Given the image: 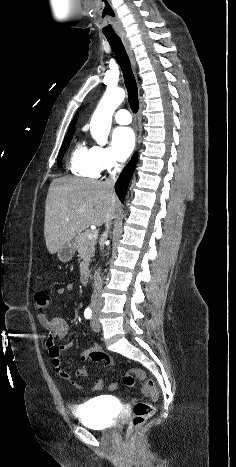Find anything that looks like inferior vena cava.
<instances>
[{
  "mask_svg": "<svg viewBox=\"0 0 236 467\" xmlns=\"http://www.w3.org/2000/svg\"><path fill=\"white\" fill-rule=\"evenodd\" d=\"M116 170L113 173H111L110 176L104 182L105 186L111 191H113L114 184H115V182L117 180ZM110 227H111L110 218H107V220H106V230L102 235V240L103 241L108 237V232L110 230ZM100 249H101V251H103L104 245H102L100 247ZM101 290H102V280L99 279L98 282L96 283L95 287H94V291H93V294H92V297H91V307L93 309L100 308L102 306Z\"/></svg>",
  "mask_w": 236,
  "mask_h": 467,
  "instance_id": "602c4592",
  "label": "inferior vena cava"
}]
</instances>
